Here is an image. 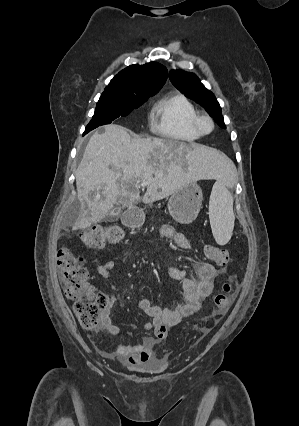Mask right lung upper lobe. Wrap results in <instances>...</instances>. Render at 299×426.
<instances>
[{"label":"right lung upper lobe","mask_w":299,"mask_h":426,"mask_svg":"<svg viewBox=\"0 0 299 426\" xmlns=\"http://www.w3.org/2000/svg\"><path fill=\"white\" fill-rule=\"evenodd\" d=\"M167 69L156 62L131 65L119 72L105 91L134 98L147 91H158L167 79Z\"/></svg>","instance_id":"right-lung-upper-lobe-1"}]
</instances>
